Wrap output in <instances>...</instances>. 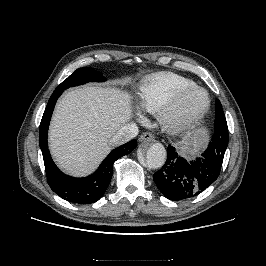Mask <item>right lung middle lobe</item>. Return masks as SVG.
<instances>
[{
  "label": "right lung middle lobe",
  "mask_w": 266,
  "mask_h": 266,
  "mask_svg": "<svg viewBox=\"0 0 266 266\" xmlns=\"http://www.w3.org/2000/svg\"><path fill=\"white\" fill-rule=\"evenodd\" d=\"M105 81L103 75L91 68H79L75 70L67 79H65L56 89L65 90L72 86L81 85L87 82Z\"/></svg>",
  "instance_id": "dd1d6c3e"
}]
</instances>
